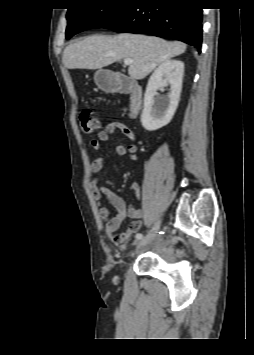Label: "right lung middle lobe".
<instances>
[{
	"label": "right lung middle lobe",
	"mask_w": 254,
	"mask_h": 355,
	"mask_svg": "<svg viewBox=\"0 0 254 355\" xmlns=\"http://www.w3.org/2000/svg\"><path fill=\"white\" fill-rule=\"evenodd\" d=\"M136 0H91L87 6L68 9L66 38L93 28H102Z\"/></svg>",
	"instance_id": "dd1d6c3e"
}]
</instances>
